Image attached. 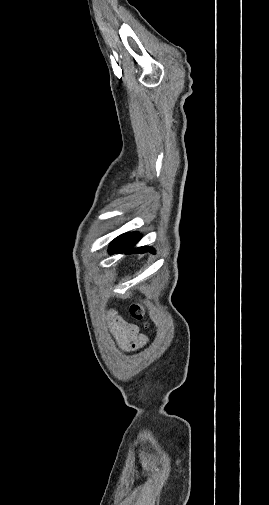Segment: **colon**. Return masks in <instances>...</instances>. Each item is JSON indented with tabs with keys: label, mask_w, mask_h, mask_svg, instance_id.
Masks as SVG:
<instances>
[{
	"label": "colon",
	"mask_w": 269,
	"mask_h": 505,
	"mask_svg": "<svg viewBox=\"0 0 269 505\" xmlns=\"http://www.w3.org/2000/svg\"><path fill=\"white\" fill-rule=\"evenodd\" d=\"M130 314L136 320H143L145 311L142 305L135 303L130 306Z\"/></svg>",
	"instance_id": "5ec220e1"
}]
</instances>
